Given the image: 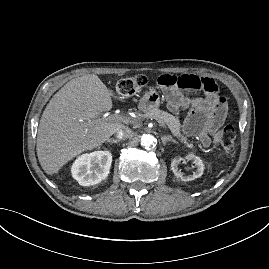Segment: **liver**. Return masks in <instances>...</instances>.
<instances>
[{"label":"liver","instance_id":"6515ba94","mask_svg":"<svg viewBox=\"0 0 269 269\" xmlns=\"http://www.w3.org/2000/svg\"><path fill=\"white\" fill-rule=\"evenodd\" d=\"M114 93L95 74L70 80L49 101L37 133V156L52 175L84 151L104 143L126 122L99 118L112 108ZM118 98L117 96H114Z\"/></svg>","mask_w":269,"mask_h":269}]
</instances>
